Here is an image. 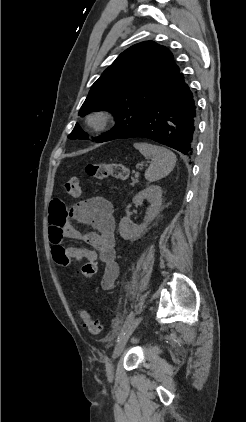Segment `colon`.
Wrapping results in <instances>:
<instances>
[{
	"mask_svg": "<svg viewBox=\"0 0 246 422\" xmlns=\"http://www.w3.org/2000/svg\"><path fill=\"white\" fill-rule=\"evenodd\" d=\"M86 174L90 178L103 180L108 177H115L120 180L127 179L129 171L122 163H91L85 167ZM67 193L74 198L81 197L82 187L77 177H71L65 184ZM54 261L61 267H67L71 264V259L64 249L56 248L52 252ZM97 264L94 262H86L80 274L86 278L91 279L96 275ZM78 316L81 320L82 326L86 328L91 334H99L102 331V324L100 321L92 318L85 310H78Z\"/></svg>",
	"mask_w": 246,
	"mask_h": 422,
	"instance_id": "colon-1",
	"label": "colon"
}]
</instances>
